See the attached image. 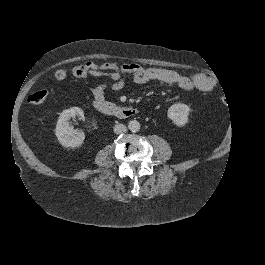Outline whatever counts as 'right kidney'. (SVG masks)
<instances>
[{"label":"right kidney","instance_id":"1","mask_svg":"<svg viewBox=\"0 0 265 265\" xmlns=\"http://www.w3.org/2000/svg\"><path fill=\"white\" fill-rule=\"evenodd\" d=\"M79 115L81 119H85L84 112L78 107H72L70 109L64 110L57 121L55 134L64 147H79L82 145L85 134L81 130H74L69 125V120L71 117Z\"/></svg>","mask_w":265,"mask_h":265}]
</instances>
